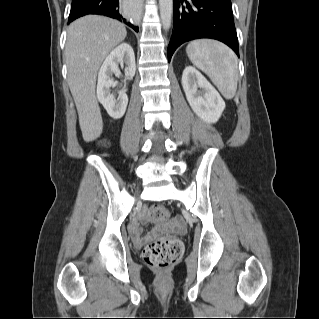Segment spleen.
Wrapping results in <instances>:
<instances>
[{"mask_svg":"<svg viewBox=\"0 0 319 319\" xmlns=\"http://www.w3.org/2000/svg\"><path fill=\"white\" fill-rule=\"evenodd\" d=\"M186 53L190 61L206 73L226 99H232L237 90L238 61L226 45L201 39L188 44Z\"/></svg>","mask_w":319,"mask_h":319,"instance_id":"obj_1","label":"spleen"}]
</instances>
